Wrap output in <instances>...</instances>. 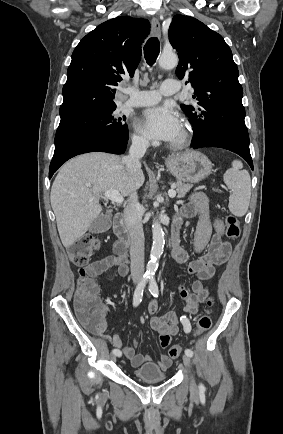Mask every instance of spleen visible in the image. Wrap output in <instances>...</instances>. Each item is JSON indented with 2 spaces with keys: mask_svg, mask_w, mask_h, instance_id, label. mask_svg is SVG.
<instances>
[{
  "mask_svg": "<svg viewBox=\"0 0 283 434\" xmlns=\"http://www.w3.org/2000/svg\"><path fill=\"white\" fill-rule=\"evenodd\" d=\"M241 161L234 160L232 167L223 176L224 183L231 190L229 210L238 217L244 216L248 210L251 196V179L248 171L242 170Z\"/></svg>",
  "mask_w": 283,
  "mask_h": 434,
  "instance_id": "obj_1",
  "label": "spleen"
}]
</instances>
